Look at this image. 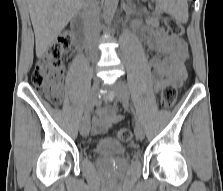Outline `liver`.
<instances>
[{"mask_svg": "<svg viewBox=\"0 0 223 191\" xmlns=\"http://www.w3.org/2000/svg\"><path fill=\"white\" fill-rule=\"evenodd\" d=\"M83 3L84 0H27L38 58L53 45Z\"/></svg>", "mask_w": 223, "mask_h": 191, "instance_id": "liver-1", "label": "liver"}]
</instances>
